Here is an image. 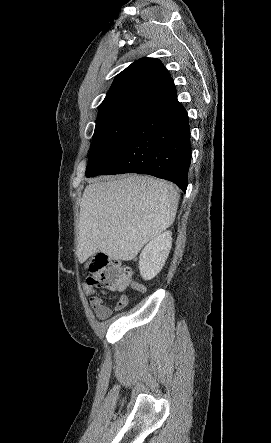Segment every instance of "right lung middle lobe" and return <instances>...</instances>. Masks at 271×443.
Returning <instances> with one entry per match:
<instances>
[{
  "label": "right lung middle lobe",
  "instance_id": "dd1d6c3e",
  "mask_svg": "<svg viewBox=\"0 0 271 443\" xmlns=\"http://www.w3.org/2000/svg\"><path fill=\"white\" fill-rule=\"evenodd\" d=\"M152 106L153 104L140 100H125L100 106L86 176L94 174L110 160L128 131Z\"/></svg>",
  "mask_w": 271,
  "mask_h": 443
}]
</instances>
